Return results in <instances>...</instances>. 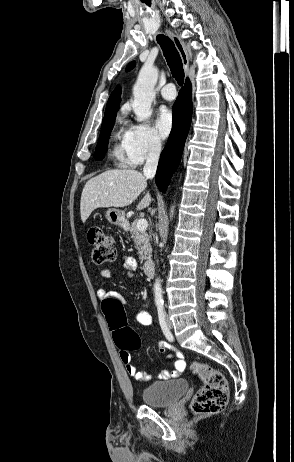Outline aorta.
I'll use <instances>...</instances> for the list:
<instances>
[{"label": "aorta", "mask_w": 294, "mask_h": 462, "mask_svg": "<svg viewBox=\"0 0 294 462\" xmlns=\"http://www.w3.org/2000/svg\"><path fill=\"white\" fill-rule=\"evenodd\" d=\"M158 80V69L154 66L144 65L139 72L137 81L133 87L134 100L132 109L141 122L149 118L152 114L151 105L155 98L154 87ZM174 208H171V217ZM155 305L159 308L164 305L163 291L160 278L155 280L153 285Z\"/></svg>", "instance_id": "762f6f07"}]
</instances>
